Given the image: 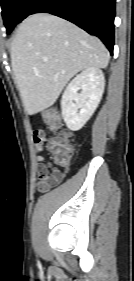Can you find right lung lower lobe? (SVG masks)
I'll use <instances>...</instances> for the list:
<instances>
[{"label": "right lung lower lobe", "mask_w": 134, "mask_h": 281, "mask_svg": "<svg viewBox=\"0 0 134 281\" xmlns=\"http://www.w3.org/2000/svg\"><path fill=\"white\" fill-rule=\"evenodd\" d=\"M40 12L76 24L89 34L99 37L113 53L115 0H32L23 19Z\"/></svg>", "instance_id": "right-lung-lower-lobe-1"}]
</instances>
